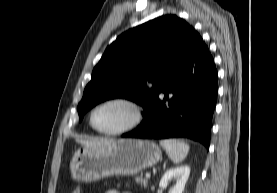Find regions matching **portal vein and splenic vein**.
I'll list each match as a JSON object with an SVG mask.
<instances>
[{
  "instance_id": "portal-vein-and-splenic-vein-1",
  "label": "portal vein and splenic vein",
  "mask_w": 277,
  "mask_h": 193,
  "mask_svg": "<svg viewBox=\"0 0 277 193\" xmlns=\"http://www.w3.org/2000/svg\"><path fill=\"white\" fill-rule=\"evenodd\" d=\"M150 173H146V178H150Z\"/></svg>"
}]
</instances>
